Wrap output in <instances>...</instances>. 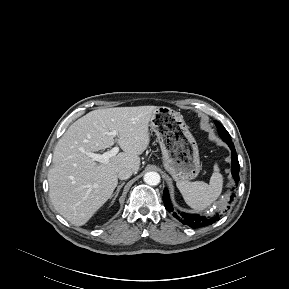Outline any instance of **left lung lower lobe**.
Masks as SVG:
<instances>
[{
    "instance_id": "obj_1",
    "label": "left lung lower lobe",
    "mask_w": 289,
    "mask_h": 289,
    "mask_svg": "<svg viewBox=\"0 0 289 289\" xmlns=\"http://www.w3.org/2000/svg\"><path fill=\"white\" fill-rule=\"evenodd\" d=\"M222 140L228 144V146L230 147V149L232 151L231 170H232V175H233L235 182L238 183L240 166H239L238 158L236 157V151H235L234 144H233L231 138H224ZM232 200H233V196H231V198H230V203ZM163 201H164V206L168 212H172L173 216L176 219H178L184 225L190 226L191 228L196 229V228L205 227V226L211 225V224H213L219 220L218 215H216L214 217H205V216H200L198 214H187L184 212L174 211V208H173L171 201H170L169 192L166 188L164 189V193H163Z\"/></svg>"
}]
</instances>
